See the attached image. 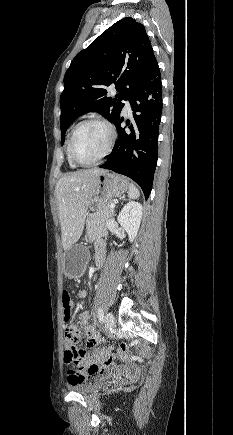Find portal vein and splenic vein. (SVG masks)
<instances>
[{"instance_id": "portal-vein-and-splenic-vein-1", "label": "portal vein and splenic vein", "mask_w": 233, "mask_h": 435, "mask_svg": "<svg viewBox=\"0 0 233 435\" xmlns=\"http://www.w3.org/2000/svg\"><path fill=\"white\" fill-rule=\"evenodd\" d=\"M109 208H110V209H114V208H115V204H111V205L109 206Z\"/></svg>"}]
</instances>
